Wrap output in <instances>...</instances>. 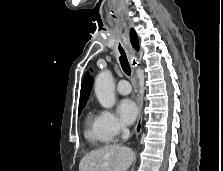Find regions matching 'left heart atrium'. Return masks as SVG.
Listing matches in <instances>:
<instances>
[{
	"mask_svg": "<svg viewBox=\"0 0 223 171\" xmlns=\"http://www.w3.org/2000/svg\"><path fill=\"white\" fill-rule=\"evenodd\" d=\"M118 113L123 123L129 125L135 121L138 115V107L133 100L124 99L118 105Z\"/></svg>",
	"mask_w": 223,
	"mask_h": 171,
	"instance_id": "39dd6f15",
	"label": "left heart atrium"
}]
</instances>
